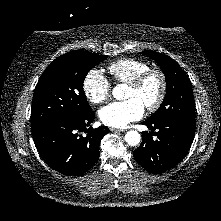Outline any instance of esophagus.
Instances as JSON below:
<instances>
[{"label": "esophagus", "instance_id": "1", "mask_svg": "<svg viewBox=\"0 0 221 221\" xmlns=\"http://www.w3.org/2000/svg\"><path fill=\"white\" fill-rule=\"evenodd\" d=\"M110 131H112V132H124L125 130H123V129H117V128H110Z\"/></svg>", "mask_w": 221, "mask_h": 221}]
</instances>
